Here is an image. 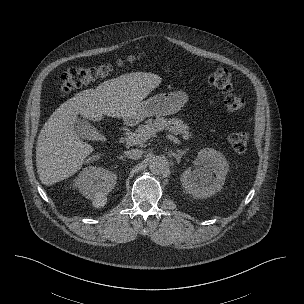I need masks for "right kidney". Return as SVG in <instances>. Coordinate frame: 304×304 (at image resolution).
Segmentation results:
<instances>
[{
    "label": "right kidney",
    "instance_id": "right-kidney-1",
    "mask_svg": "<svg viewBox=\"0 0 304 304\" xmlns=\"http://www.w3.org/2000/svg\"><path fill=\"white\" fill-rule=\"evenodd\" d=\"M117 176L112 171L99 167H85L75 178L74 186L87 199L104 206L106 197L116 184Z\"/></svg>",
    "mask_w": 304,
    "mask_h": 304
}]
</instances>
